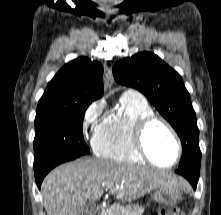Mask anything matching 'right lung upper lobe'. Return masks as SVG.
I'll use <instances>...</instances> for the list:
<instances>
[{
  "label": "right lung upper lobe",
  "instance_id": "obj_1",
  "mask_svg": "<svg viewBox=\"0 0 221 215\" xmlns=\"http://www.w3.org/2000/svg\"><path fill=\"white\" fill-rule=\"evenodd\" d=\"M102 74L97 61L86 57L70 61L48 83L38 104L91 103L103 95Z\"/></svg>",
  "mask_w": 221,
  "mask_h": 215
}]
</instances>
